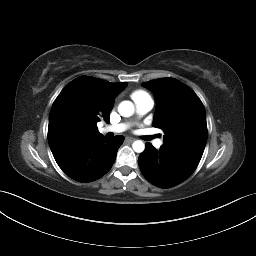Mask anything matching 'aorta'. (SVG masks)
Here are the masks:
<instances>
[{"mask_svg":"<svg viewBox=\"0 0 256 256\" xmlns=\"http://www.w3.org/2000/svg\"><path fill=\"white\" fill-rule=\"evenodd\" d=\"M135 108L131 101H122L118 106V112L122 117H130L134 114ZM136 153H141L145 149V144L141 140H136L132 144Z\"/></svg>","mask_w":256,"mask_h":256,"instance_id":"762f6f07","label":"aorta"}]
</instances>
